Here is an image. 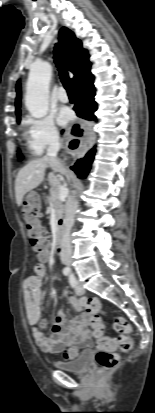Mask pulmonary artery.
Here are the masks:
<instances>
[{
  "mask_svg": "<svg viewBox=\"0 0 155 413\" xmlns=\"http://www.w3.org/2000/svg\"><path fill=\"white\" fill-rule=\"evenodd\" d=\"M57 97L61 102H67L68 101V94H67L66 90L63 87L58 88Z\"/></svg>",
  "mask_w": 155,
  "mask_h": 413,
  "instance_id": "obj_1",
  "label": "pulmonary artery"
}]
</instances>
